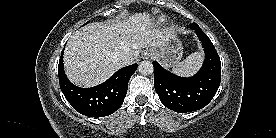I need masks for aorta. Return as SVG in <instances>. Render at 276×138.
Listing matches in <instances>:
<instances>
[{
	"label": "aorta",
	"mask_w": 276,
	"mask_h": 138,
	"mask_svg": "<svg viewBox=\"0 0 276 138\" xmlns=\"http://www.w3.org/2000/svg\"><path fill=\"white\" fill-rule=\"evenodd\" d=\"M138 70L142 75H150L153 73L154 67L150 61H142L138 66Z\"/></svg>",
	"instance_id": "aorta-1"
}]
</instances>
